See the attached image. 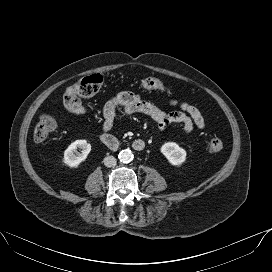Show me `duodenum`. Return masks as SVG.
<instances>
[{"label":"duodenum","mask_w":272,"mask_h":272,"mask_svg":"<svg viewBox=\"0 0 272 272\" xmlns=\"http://www.w3.org/2000/svg\"><path fill=\"white\" fill-rule=\"evenodd\" d=\"M100 140L101 142L109 149L112 150H116L119 148V141L116 137H114L113 135H111L110 133H102L100 135ZM146 147V142L143 139H137L135 141H133L132 143V148L135 151H143Z\"/></svg>","instance_id":"duodenum-1"}]
</instances>
